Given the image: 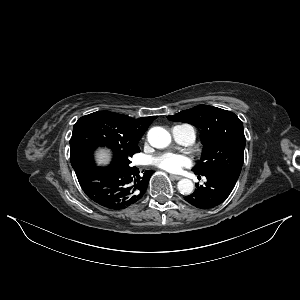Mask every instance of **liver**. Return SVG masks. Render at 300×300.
Masks as SVG:
<instances>
[{"mask_svg": "<svg viewBox=\"0 0 300 300\" xmlns=\"http://www.w3.org/2000/svg\"><path fill=\"white\" fill-rule=\"evenodd\" d=\"M96 161L99 165L107 164L109 162V153L107 151L97 152Z\"/></svg>", "mask_w": 300, "mask_h": 300, "instance_id": "1", "label": "liver"}]
</instances>
